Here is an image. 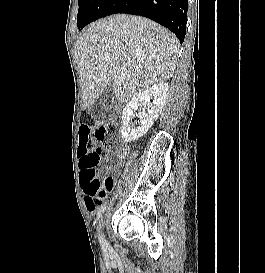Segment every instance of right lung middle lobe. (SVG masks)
<instances>
[{"instance_id": "right-lung-middle-lobe-1", "label": "right lung middle lobe", "mask_w": 265, "mask_h": 273, "mask_svg": "<svg viewBox=\"0 0 265 273\" xmlns=\"http://www.w3.org/2000/svg\"><path fill=\"white\" fill-rule=\"evenodd\" d=\"M118 0H79L77 26L81 30L87 24L105 17Z\"/></svg>"}]
</instances>
